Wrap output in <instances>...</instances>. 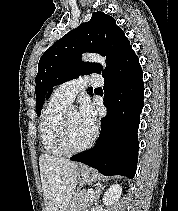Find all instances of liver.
<instances>
[{"label":"liver","instance_id":"liver-1","mask_svg":"<svg viewBox=\"0 0 178 211\" xmlns=\"http://www.w3.org/2000/svg\"><path fill=\"white\" fill-rule=\"evenodd\" d=\"M39 166L46 211H68L77 186L78 164L66 158L42 154Z\"/></svg>","mask_w":178,"mask_h":211}]
</instances>
